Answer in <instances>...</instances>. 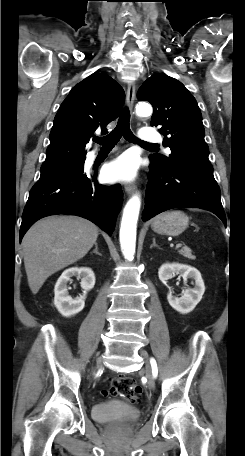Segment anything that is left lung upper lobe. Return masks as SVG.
Wrapping results in <instances>:
<instances>
[{
  "instance_id": "left-lung-upper-lobe-1",
  "label": "left lung upper lobe",
  "mask_w": 245,
  "mask_h": 456,
  "mask_svg": "<svg viewBox=\"0 0 245 456\" xmlns=\"http://www.w3.org/2000/svg\"><path fill=\"white\" fill-rule=\"evenodd\" d=\"M137 97L152 104L151 126H161L163 143L171 149L169 157L153 154L150 159L162 166L175 162L213 169L201 111L181 82L163 74L152 75L140 87Z\"/></svg>"
}]
</instances>
